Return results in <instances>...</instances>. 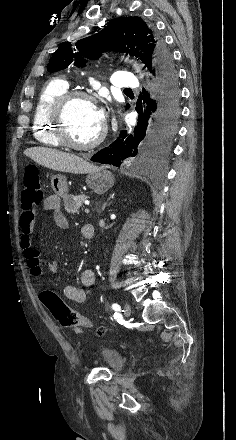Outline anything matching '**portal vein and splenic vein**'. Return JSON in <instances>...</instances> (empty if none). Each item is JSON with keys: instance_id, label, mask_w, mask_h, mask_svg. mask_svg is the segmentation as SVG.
<instances>
[{"instance_id": "18ae733b", "label": "portal vein and splenic vein", "mask_w": 236, "mask_h": 440, "mask_svg": "<svg viewBox=\"0 0 236 440\" xmlns=\"http://www.w3.org/2000/svg\"><path fill=\"white\" fill-rule=\"evenodd\" d=\"M84 211H85V213H89L90 212L89 208H87V207L85 208Z\"/></svg>"}]
</instances>
